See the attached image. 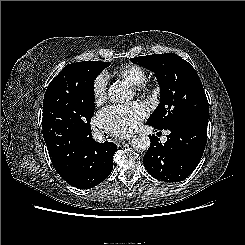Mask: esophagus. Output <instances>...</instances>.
Returning <instances> with one entry per match:
<instances>
[{
    "label": "esophagus",
    "mask_w": 245,
    "mask_h": 245,
    "mask_svg": "<svg viewBox=\"0 0 245 245\" xmlns=\"http://www.w3.org/2000/svg\"><path fill=\"white\" fill-rule=\"evenodd\" d=\"M130 139H131V136L126 137L125 139H120V140H118L117 143H124L125 141H129Z\"/></svg>",
    "instance_id": "obj_1"
}]
</instances>
